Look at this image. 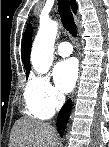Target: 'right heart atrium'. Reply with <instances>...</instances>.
Listing matches in <instances>:
<instances>
[{
	"label": "right heart atrium",
	"instance_id": "d8ad5b80",
	"mask_svg": "<svg viewBox=\"0 0 109 147\" xmlns=\"http://www.w3.org/2000/svg\"><path fill=\"white\" fill-rule=\"evenodd\" d=\"M26 97L50 115L54 114L64 101L63 95L53 87L48 77L43 75L35 76L29 82Z\"/></svg>",
	"mask_w": 109,
	"mask_h": 147
}]
</instances>
